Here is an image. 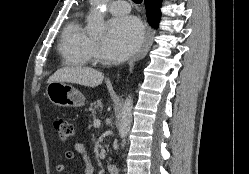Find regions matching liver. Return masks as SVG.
<instances>
[{"label":"liver","mask_w":249,"mask_h":174,"mask_svg":"<svg viewBox=\"0 0 249 174\" xmlns=\"http://www.w3.org/2000/svg\"><path fill=\"white\" fill-rule=\"evenodd\" d=\"M103 79V73L89 67H63L49 77L47 82H67L96 87L103 82Z\"/></svg>","instance_id":"obj_1"}]
</instances>
